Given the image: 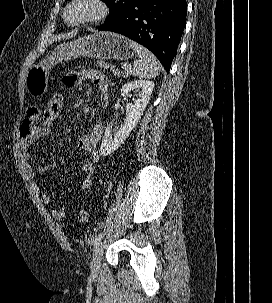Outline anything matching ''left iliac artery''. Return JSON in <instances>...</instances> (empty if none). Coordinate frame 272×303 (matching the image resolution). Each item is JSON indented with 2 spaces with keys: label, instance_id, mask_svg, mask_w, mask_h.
<instances>
[{
  "label": "left iliac artery",
  "instance_id": "1",
  "mask_svg": "<svg viewBox=\"0 0 272 303\" xmlns=\"http://www.w3.org/2000/svg\"><path fill=\"white\" fill-rule=\"evenodd\" d=\"M105 233H99L95 236L93 243L96 244L98 241H100L104 237Z\"/></svg>",
  "mask_w": 272,
  "mask_h": 303
}]
</instances>
